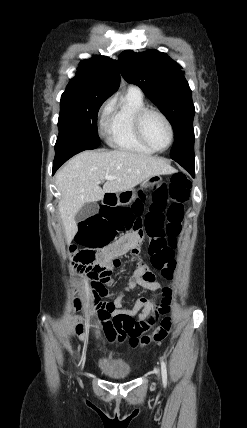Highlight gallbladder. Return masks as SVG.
Segmentation results:
<instances>
[{
  "instance_id": "obj_1",
  "label": "gallbladder",
  "mask_w": 247,
  "mask_h": 428,
  "mask_svg": "<svg viewBox=\"0 0 247 428\" xmlns=\"http://www.w3.org/2000/svg\"><path fill=\"white\" fill-rule=\"evenodd\" d=\"M99 206L96 202L85 203L75 216L76 222L84 221L85 219L95 215L98 212Z\"/></svg>"
}]
</instances>
